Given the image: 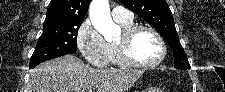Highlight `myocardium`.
I'll return each mask as SVG.
<instances>
[{
    "label": "myocardium",
    "mask_w": 225,
    "mask_h": 92,
    "mask_svg": "<svg viewBox=\"0 0 225 92\" xmlns=\"http://www.w3.org/2000/svg\"><path fill=\"white\" fill-rule=\"evenodd\" d=\"M142 30H147L151 32L157 39L161 49L160 56L154 62L151 63L139 62L132 56L130 51L133 38L139 31ZM116 48L121 64L123 66L135 69H148L156 67L164 61L167 53V47L161 34L152 26L144 24L132 25L129 28L124 29L121 35V39L116 42Z\"/></svg>",
    "instance_id": "1"
}]
</instances>
